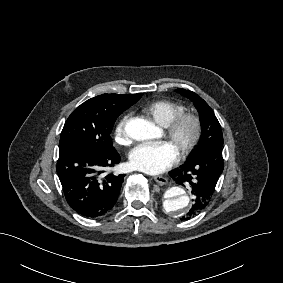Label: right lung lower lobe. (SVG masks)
Listing matches in <instances>:
<instances>
[{
    "mask_svg": "<svg viewBox=\"0 0 283 283\" xmlns=\"http://www.w3.org/2000/svg\"><path fill=\"white\" fill-rule=\"evenodd\" d=\"M120 162L115 150L101 152L74 142L59 147L57 174L70 207L86 218H100L114 207L124 175L104 173Z\"/></svg>",
    "mask_w": 283,
    "mask_h": 283,
    "instance_id": "right-lung-lower-lobe-1",
    "label": "right lung lower lobe"
}]
</instances>
